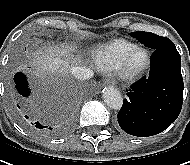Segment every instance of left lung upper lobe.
Segmentation results:
<instances>
[{
  "label": "left lung upper lobe",
  "instance_id": "obj_1",
  "mask_svg": "<svg viewBox=\"0 0 190 165\" xmlns=\"http://www.w3.org/2000/svg\"><path fill=\"white\" fill-rule=\"evenodd\" d=\"M132 37H135L137 40H139L142 44H144L147 47H150L152 49H157L160 46H163L169 42H171L170 39L166 37L158 36L151 32H132L130 33Z\"/></svg>",
  "mask_w": 190,
  "mask_h": 165
}]
</instances>
